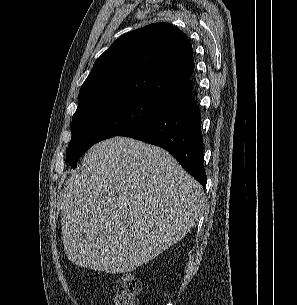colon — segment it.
<instances>
[{
	"label": "colon",
	"instance_id": "5ec220e1",
	"mask_svg": "<svg viewBox=\"0 0 297 305\" xmlns=\"http://www.w3.org/2000/svg\"><path fill=\"white\" fill-rule=\"evenodd\" d=\"M139 283L131 274H124L117 281L111 305H138Z\"/></svg>",
	"mask_w": 297,
	"mask_h": 305
}]
</instances>
